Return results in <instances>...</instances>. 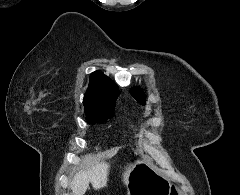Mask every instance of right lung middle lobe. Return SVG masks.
<instances>
[{
    "label": "right lung middle lobe",
    "instance_id": "right-lung-middle-lobe-1",
    "mask_svg": "<svg viewBox=\"0 0 240 195\" xmlns=\"http://www.w3.org/2000/svg\"><path fill=\"white\" fill-rule=\"evenodd\" d=\"M89 124L103 123L114 115L115 103H83Z\"/></svg>",
    "mask_w": 240,
    "mask_h": 195
}]
</instances>
